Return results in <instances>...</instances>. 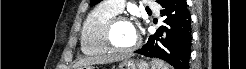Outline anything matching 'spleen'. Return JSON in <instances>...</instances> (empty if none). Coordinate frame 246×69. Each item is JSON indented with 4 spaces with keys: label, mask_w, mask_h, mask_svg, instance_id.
Instances as JSON below:
<instances>
[{
    "label": "spleen",
    "mask_w": 246,
    "mask_h": 69,
    "mask_svg": "<svg viewBox=\"0 0 246 69\" xmlns=\"http://www.w3.org/2000/svg\"><path fill=\"white\" fill-rule=\"evenodd\" d=\"M152 69H168V66L165 65L162 61H155Z\"/></svg>",
    "instance_id": "obj_1"
}]
</instances>
